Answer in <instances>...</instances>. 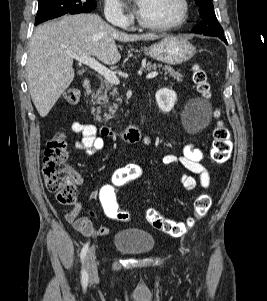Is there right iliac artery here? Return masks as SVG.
I'll return each instance as SVG.
<instances>
[{"instance_id": "82829eb1", "label": "right iliac artery", "mask_w": 267, "mask_h": 301, "mask_svg": "<svg viewBox=\"0 0 267 301\" xmlns=\"http://www.w3.org/2000/svg\"><path fill=\"white\" fill-rule=\"evenodd\" d=\"M88 247H89V242H87L83 246V248L81 250V253H80V258H81V261H82L81 282H82L83 285H86L87 282H88V274H87V271H86L85 266H84L86 254H87V251H88Z\"/></svg>"}]
</instances>
